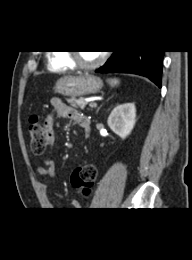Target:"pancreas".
I'll return each mask as SVG.
<instances>
[{"instance_id":"obj_1","label":"pancreas","mask_w":192,"mask_h":260,"mask_svg":"<svg viewBox=\"0 0 192 260\" xmlns=\"http://www.w3.org/2000/svg\"><path fill=\"white\" fill-rule=\"evenodd\" d=\"M67 102L74 108H78L80 110H85L86 105L88 104V102H86L84 99L79 98H69L67 99Z\"/></svg>"}]
</instances>
